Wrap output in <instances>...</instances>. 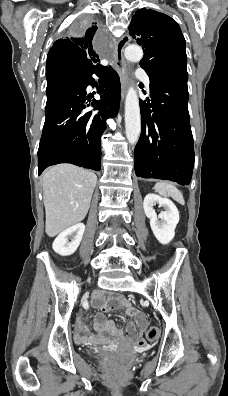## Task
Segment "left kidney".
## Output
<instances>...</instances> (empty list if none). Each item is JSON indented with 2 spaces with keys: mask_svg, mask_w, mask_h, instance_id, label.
<instances>
[{
  "mask_svg": "<svg viewBox=\"0 0 228 396\" xmlns=\"http://www.w3.org/2000/svg\"><path fill=\"white\" fill-rule=\"evenodd\" d=\"M156 204L165 209L158 216L154 209ZM143 207L156 239L161 244H168L174 238L175 228L179 222V211L175 204L171 200L156 194H147L144 198Z\"/></svg>",
  "mask_w": 228,
  "mask_h": 396,
  "instance_id": "left-kidney-1",
  "label": "left kidney"
}]
</instances>
